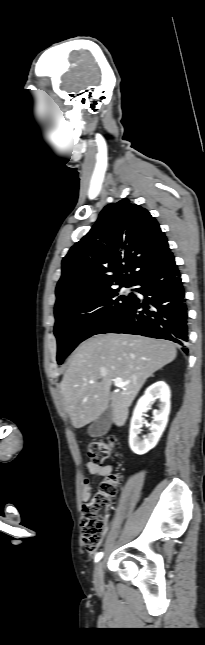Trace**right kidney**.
I'll return each mask as SVG.
<instances>
[{
	"label": "right kidney",
	"instance_id": "1",
	"mask_svg": "<svg viewBox=\"0 0 205 645\" xmlns=\"http://www.w3.org/2000/svg\"><path fill=\"white\" fill-rule=\"evenodd\" d=\"M170 396L169 386L164 381H158L149 386L144 395L138 400L129 431V445L135 454L143 455L157 445L168 423ZM157 397L160 398V406L158 410L153 411V423L150 427V433L140 439L138 435L141 433L144 421L142 414Z\"/></svg>",
	"mask_w": 205,
	"mask_h": 645
}]
</instances>
